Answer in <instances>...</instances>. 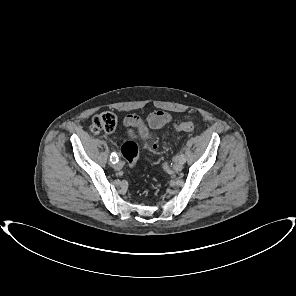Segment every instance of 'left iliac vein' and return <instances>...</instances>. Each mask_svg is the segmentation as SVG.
Wrapping results in <instances>:
<instances>
[{
  "mask_svg": "<svg viewBox=\"0 0 296 296\" xmlns=\"http://www.w3.org/2000/svg\"><path fill=\"white\" fill-rule=\"evenodd\" d=\"M182 168H183V162H182L180 159H178V160L174 163V165H173V169H174V171L179 172V171L182 170Z\"/></svg>",
  "mask_w": 296,
  "mask_h": 296,
  "instance_id": "4c4485c4",
  "label": "left iliac vein"
}]
</instances>
